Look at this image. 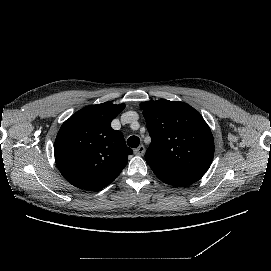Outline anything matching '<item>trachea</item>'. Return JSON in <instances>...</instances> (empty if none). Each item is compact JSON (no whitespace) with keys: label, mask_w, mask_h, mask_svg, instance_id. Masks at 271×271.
Instances as JSON below:
<instances>
[{"label":"trachea","mask_w":271,"mask_h":271,"mask_svg":"<svg viewBox=\"0 0 271 271\" xmlns=\"http://www.w3.org/2000/svg\"><path fill=\"white\" fill-rule=\"evenodd\" d=\"M139 143H140V139L137 136H131L127 140L128 146H130L132 148L138 147Z\"/></svg>","instance_id":"3493384b"}]
</instances>
